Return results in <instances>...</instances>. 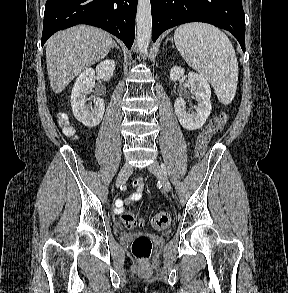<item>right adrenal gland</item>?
Returning a JSON list of instances; mask_svg holds the SVG:
<instances>
[{
  "instance_id": "right-adrenal-gland-1",
  "label": "right adrenal gland",
  "mask_w": 288,
  "mask_h": 293,
  "mask_svg": "<svg viewBox=\"0 0 288 293\" xmlns=\"http://www.w3.org/2000/svg\"><path fill=\"white\" fill-rule=\"evenodd\" d=\"M113 47L120 49L119 46L115 42L113 43Z\"/></svg>"
}]
</instances>
